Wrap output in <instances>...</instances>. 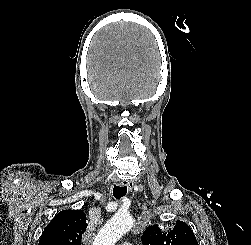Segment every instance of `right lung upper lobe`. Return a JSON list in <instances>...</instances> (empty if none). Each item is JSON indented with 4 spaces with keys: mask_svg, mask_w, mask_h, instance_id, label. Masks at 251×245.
I'll return each instance as SVG.
<instances>
[{
    "mask_svg": "<svg viewBox=\"0 0 251 245\" xmlns=\"http://www.w3.org/2000/svg\"><path fill=\"white\" fill-rule=\"evenodd\" d=\"M86 227L83 210L61 211L44 229L39 245H80Z\"/></svg>",
    "mask_w": 251,
    "mask_h": 245,
    "instance_id": "1",
    "label": "right lung upper lobe"
}]
</instances>
